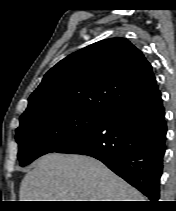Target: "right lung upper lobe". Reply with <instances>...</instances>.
Listing matches in <instances>:
<instances>
[{
	"instance_id": "1",
	"label": "right lung upper lobe",
	"mask_w": 176,
	"mask_h": 211,
	"mask_svg": "<svg viewBox=\"0 0 176 211\" xmlns=\"http://www.w3.org/2000/svg\"><path fill=\"white\" fill-rule=\"evenodd\" d=\"M158 91L143 53L125 38H110L72 53L51 68L20 118L48 108L108 115Z\"/></svg>"
}]
</instances>
